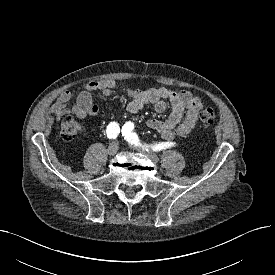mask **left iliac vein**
Here are the masks:
<instances>
[{"instance_id":"obj_1","label":"left iliac vein","mask_w":275,"mask_h":275,"mask_svg":"<svg viewBox=\"0 0 275 275\" xmlns=\"http://www.w3.org/2000/svg\"><path fill=\"white\" fill-rule=\"evenodd\" d=\"M133 148L136 149L141 154L147 156L153 163H158L159 158L154 153L149 152L144 148H138V147H135V146H133Z\"/></svg>"}]
</instances>
